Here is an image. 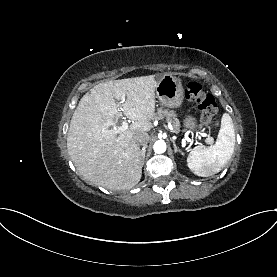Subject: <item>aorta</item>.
Listing matches in <instances>:
<instances>
[{
    "label": "aorta",
    "mask_w": 277,
    "mask_h": 277,
    "mask_svg": "<svg viewBox=\"0 0 277 277\" xmlns=\"http://www.w3.org/2000/svg\"><path fill=\"white\" fill-rule=\"evenodd\" d=\"M153 149L157 154L164 153L166 151V143L163 140H158L154 143Z\"/></svg>",
    "instance_id": "762f6f07"
}]
</instances>
